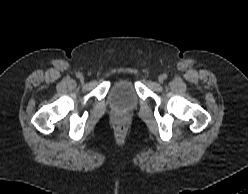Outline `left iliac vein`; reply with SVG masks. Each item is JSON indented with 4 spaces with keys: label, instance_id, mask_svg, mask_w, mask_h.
<instances>
[{
    "label": "left iliac vein",
    "instance_id": "1",
    "mask_svg": "<svg viewBox=\"0 0 248 194\" xmlns=\"http://www.w3.org/2000/svg\"><path fill=\"white\" fill-rule=\"evenodd\" d=\"M163 80H164L163 76H160V77H159V81H160V82H163Z\"/></svg>",
    "mask_w": 248,
    "mask_h": 194
}]
</instances>
